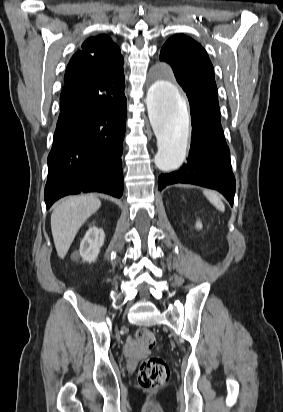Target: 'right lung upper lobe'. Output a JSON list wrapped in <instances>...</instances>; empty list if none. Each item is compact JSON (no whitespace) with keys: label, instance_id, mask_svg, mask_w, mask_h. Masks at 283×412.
<instances>
[{"label":"right lung upper lobe","instance_id":"right-lung-upper-lobe-1","mask_svg":"<svg viewBox=\"0 0 283 412\" xmlns=\"http://www.w3.org/2000/svg\"><path fill=\"white\" fill-rule=\"evenodd\" d=\"M123 64L120 48L107 35L87 39L68 64L60 105L81 92L95 90L104 82L117 87L124 85Z\"/></svg>","mask_w":283,"mask_h":412}]
</instances>
